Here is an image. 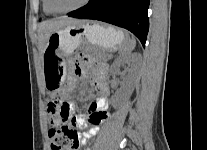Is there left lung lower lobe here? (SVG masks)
<instances>
[{
    "label": "left lung lower lobe",
    "instance_id": "1",
    "mask_svg": "<svg viewBox=\"0 0 207 150\" xmlns=\"http://www.w3.org/2000/svg\"><path fill=\"white\" fill-rule=\"evenodd\" d=\"M149 0H91L70 17L94 19L107 22L131 31L145 46L149 21Z\"/></svg>",
    "mask_w": 207,
    "mask_h": 150
}]
</instances>
